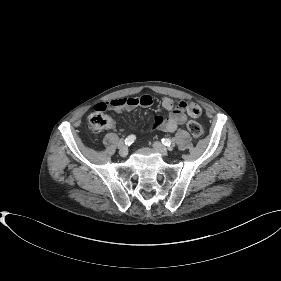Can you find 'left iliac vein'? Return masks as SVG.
Segmentation results:
<instances>
[{
    "label": "left iliac vein",
    "mask_w": 281,
    "mask_h": 281,
    "mask_svg": "<svg viewBox=\"0 0 281 281\" xmlns=\"http://www.w3.org/2000/svg\"><path fill=\"white\" fill-rule=\"evenodd\" d=\"M153 147L154 149L159 152L162 156L166 157L168 156V149L163 145L161 144L160 142H154L153 143ZM169 150H172V147H169Z\"/></svg>",
    "instance_id": "1"
}]
</instances>
